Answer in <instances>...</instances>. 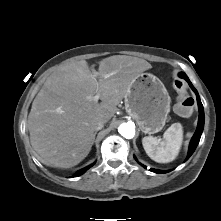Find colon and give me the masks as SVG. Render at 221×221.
Returning a JSON list of instances; mask_svg holds the SVG:
<instances>
[{
  "label": "colon",
  "instance_id": "colon-1",
  "mask_svg": "<svg viewBox=\"0 0 221 221\" xmlns=\"http://www.w3.org/2000/svg\"><path fill=\"white\" fill-rule=\"evenodd\" d=\"M173 86L178 94L175 111L182 117L190 116L193 111L194 101L186 93V84L181 79H176Z\"/></svg>",
  "mask_w": 221,
  "mask_h": 221
}]
</instances>
